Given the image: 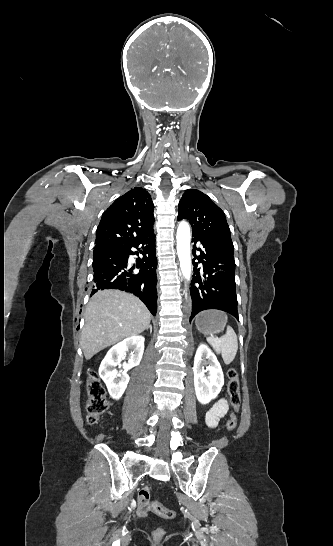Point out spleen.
I'll return each mask as SVG.
<instances>
[{
	"label": "spleen",
	"instance_id": "3e777b00",
	"mask_svg": "<svg viewBox=\"0 0 333 546\" xmlns=\"http://www.w3.org/2000/svg\"><path fill=\"white\" fill-rule=\"evenodd\" d=\"M227 318V315L222 312ZM207 342L212 346L216 353L221 354L225 364L229 365L233 362L238 351L237 335L232 327L228 326L226 334L222 337H207Z\"/></svg>",
	"mask_w": 333,
	"mask_h": 546
}]
</instances>
